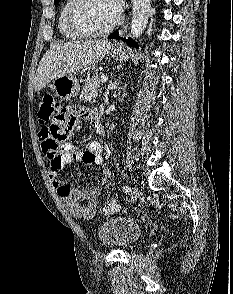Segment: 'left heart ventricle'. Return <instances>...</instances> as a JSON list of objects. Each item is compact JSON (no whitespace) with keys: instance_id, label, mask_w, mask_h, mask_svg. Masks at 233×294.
Masks as SVG:
<instances>
[{"instance_id":"obj_1","label":"left heart ventricle","mask_w":233,"mask_h":294,"mask_svg":"<svg viewBox=\"0 0 233 294\" xmlns=\"http://www.w3.org/2000/svg\"><path fill=\"white\" fill-rule=\"evenodd\" d=\"M117 16L109 0H87L79 11L81 24L90 31L106 28Z\"/></svg>"}]
</instances>
